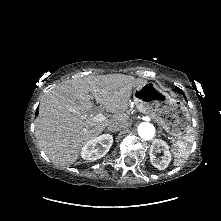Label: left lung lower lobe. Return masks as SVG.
Here are the masks:
<instances>
[{"label":"left lung lower lobe","mask_w":221,"mask_h":221,"mask_svg":"<svg viewBox=\"0 0 221 221\" xmlns=\"http://www.w3.org/2000/svg\"><path fill=\"white\" fill-rule=\"evenodd\" d=\"M174 90L177 91L178 93L184 95L183 91H182L180 88H175ZM184 97H185V96H184Z\"/></svg>","instance_id":"1"}]
</instances>
